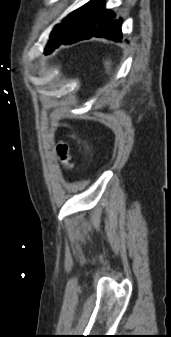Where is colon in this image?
Instances as JSON below:
<instances>
[{
	"label": "colon",
	"mask_w": 171,
	"mask_h": 337,
	"mask_svg": "<svg viewBox=\"0 0 171 337\" xmlns=\"http://www.w3.org/2000/svg\"><path fill=\"white\" fill-rule=\"evenodd\" d=\"M56 153L59 161L65 169L72 168L69 146L64 141H58L56 145Z\"/></svg>",
	"instance_id": "1"
}]
</instances>
